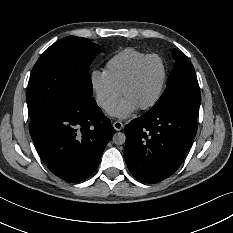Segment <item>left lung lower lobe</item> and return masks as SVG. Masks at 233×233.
<instances>
[{"instance_id": "0a47b994", "label": "left lung lower lobe", "mask_w": 233, "mask_h": 233, "mask_svg": "<svg viewBox=\"0 0 233 233\" xmlns=\"http://www.w3.org/2000/svg\"><path fill=\"white\" fill-rule=\"evenodd\" d=\"M127 167L139 181L158 183L176 172L197 131V112L145 113L125 126Z\"/></svg>"}]
</instances>
